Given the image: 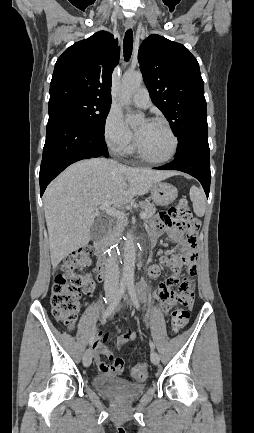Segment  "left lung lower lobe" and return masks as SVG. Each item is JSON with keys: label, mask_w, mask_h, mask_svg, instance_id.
Masks as SVG:
<instances>
[{"label": "left lung lower lobe", "mask_w": 254, "mask_h": 433, "mask_svg": "<svg viewBox=\"0 0 254 433\" xmlns=\"http://www.w3.org/2000/svg\"><path fill=\"white\" fill-rule=\"evenodd\" d=\"M155 169L178 170L192 175L200 181L208 197L211 181L208 139H195L188 142L177 149L176 157L172 162Z\"/></svg>", "instance_id": "0a47b994"}]
</instances>
